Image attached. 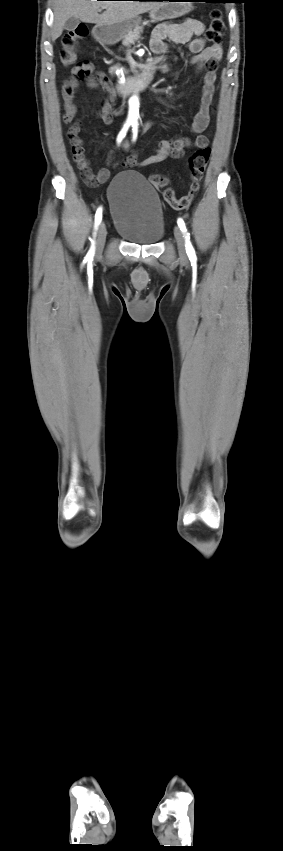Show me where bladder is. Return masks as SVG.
<instances>
[{
    "mask_svg": "<svg viewBox=\"0 0 283 851\" xmlns=\"http://www.w3.org/2000/svg\"><path fill=\"white\" fill-rule=\"evenodd\" d=\"M116 232L129 242L150 245L165 233L164 213L155 188L139 173L124 171L108 186Z\"/></svg>",
    "mask_w": 283,
    "mask_h": 851,
    "instance_id": "1",
    "label": "bladder"
}]
</instances>
